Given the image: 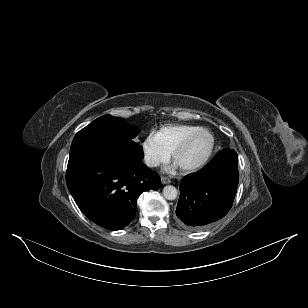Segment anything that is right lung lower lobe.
Instances as JSON below:
<instances>
[{"label": "right lung lower lobe", "instance_id": "1", "mask_svg": "<svg viewBox=\"0 0 308 308\" xmlns=\"http://www.w3.org/2000/svg\"><path fill=\"white\" fill-rule=\"evenodd\" d=\"M66 182L83 214L108 230L127 226L139 195L160 187V178L142 160L107 154L70 158Z\"/></svg>", "mask_w": 308, "mask_h": 308}]
</instances>
